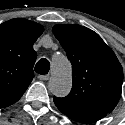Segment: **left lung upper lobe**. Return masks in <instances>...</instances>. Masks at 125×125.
Listing matches in <instances>:
<instances>
[{
  "label": "left lung upper lobe",
  "mask_w": 125,
  "mask_h": 125,
  "mask_svg": "<svg viewBox=\"0 0 125 125\" xmlns=\"http://www.w3.org/2000/svg\"><path fill=\"white\" fill-rule=\"evenodd\" d=\"M53 33L71 61L72 89L54 97L57 108L69 118L111 113L122 92L123 69L114 52L94 31L76 24H57Z\"/></svg>",
  "instance_id": "left-lung-upper-lobe-1"
}]
</instances>
